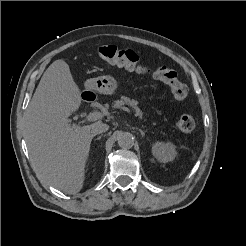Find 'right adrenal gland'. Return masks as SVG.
I'll list each match as a JSON object with an SVG mask.
<instances>
[{
	"instance_id": "right-adrenal-gland-1",
	"label": "right adrenal gland",
	"mask_w": 246,
	"mask_h": 246,
	"mask_svg": "<svg viewBox=\"0 0 246 246\" xmlns=\"http://www.w3.org/2000/svg\"><path fill=\"white\" fill-rule=\"evenodd\" d=\"M94 136H92V138H93ZM101 135L100 136H98L95 140H100L101 139Z\"/></svg>"
}]
</instances>
